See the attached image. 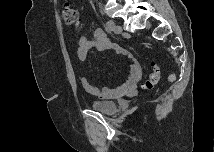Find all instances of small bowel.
<instances>
[{
	"label": "small bowel",
	"mask_w": 215,
	"mask_h": 152,
	"mask_svg": "<svg viewBox=\"0 0 215 152\" xmlns=\"http://www.w3.org/2000/svg\"><path fill=\"white\" fill-rule=\"evenodd\" d=\"M92 48L98 51L113 50L115 53L126 57L130 61L129 71L124 82L116 88L103 87L98 89L94 87L87 78L82 77L80 84L83 90L94 97L102 99H115L122 96L134 95L141 77V69L133 54L126 48L112 42L107 37L105 31L100 28L93 32L92 40L86 37L80 38L77 49L78 59L82 61L85 60Z\"/></svg>",
	"instance_id": "c3829d8e"
}]
</instances>
